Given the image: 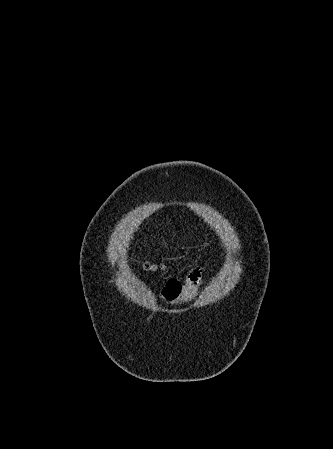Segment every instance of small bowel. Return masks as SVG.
<instances>
[{"label": "small bowel", "instance_id": "obj_1", "mask_svg": "<svg viewBox=\"0 0 333 449\" xmlns=\"http://www.w3.org/2000/svg\"><path fill=\"white\" fill-rule=\"evenodd\" d=\"M206 276L205 267H194L188 272L183 282L177 279L169 280L161 291V298L167 304H180L185 298L195 294Z\"/></svg>", "mask_w": 333, "mask_h": 449}]
</instances>
